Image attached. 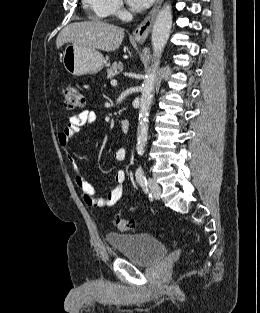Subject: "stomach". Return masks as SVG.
I'll return each mask as SVG.
<instances>
[{
  "label": "stomach",
  "mask_w": 260,
  "mask_h": 313,
  "mask_svg": "<svg viewBox=\"0 0 260 313\" xmlns=\"http://www.w3.org/2000/svg\"><path fill=\"white\" fill-rule=\"evenodd\" d=\"M62 61L66 71L74 76L96 74L104 66V58L99 51L76 44L65 47Z\"/></svg>",
  "instance_id": "0dacf381"
}]
</instances>
